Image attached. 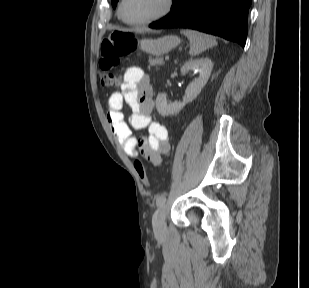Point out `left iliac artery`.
<instances>
[{"label":"left iliac artery","instance_id":"1","mask_svg":"<svg viewBox=\"0 0 309 288\" xmlns=\"http://www.w3.org/2000/svg\"><path fill=\"white\" fill-rule=\"evenodd\" d=\"M165 201H166V197L164 195H161L156 199V204L157 206H161L165 203Z\"/></svg>","mask_w":309,"mask_h":288}]
</instances>
